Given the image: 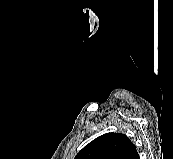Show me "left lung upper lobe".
I'll return each mask as SVG.
<instances>
[{"mask_svg": "<svg viewBox=\"0 0 173 159\" xmlns=\"http://www.w3.org/2000/svg\"><path fill=\"white\" fill-rule=\"evenodd\" d=\"M138 153L130 139L120 133H106L86 145L75 159H136Z\"/></svg>", "mask_w": 173, "mask_h": 159, "instance_id": "5c2ea615", "label": "left lung upper lobe"}]
</instances>
